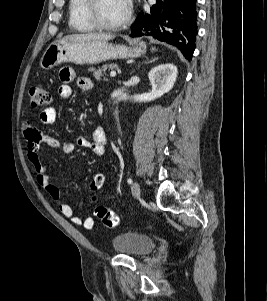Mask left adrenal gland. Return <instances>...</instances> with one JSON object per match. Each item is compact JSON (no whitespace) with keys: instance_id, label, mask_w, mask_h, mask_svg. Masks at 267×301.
<instances>
[{"instance_id":"1","label":"left adrenal gland","mask_w":267,"mask_h":301,"mask_svg":"<svg viewBox=\"0 0 267 301\" xmlns=\"http://www.w3.org/2000/svg\"><path fill=\"white\" fill-rule=\"evenodd\" d=\"M156 60H157V58H154V59H151L150 61H147L146 63H151V62H154Z\"/></svg>"}]
</instances>
